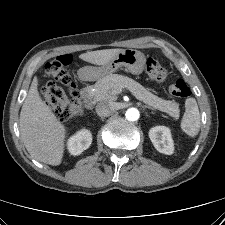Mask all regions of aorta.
Instances as JSON below:
<instances>
[{"label": "aorta", "instance_id": "1", "mask_svg": "<svg viewBox=\"0 0 225 225\" xmlns=\"http://www.w3.org/2000/svg\"><path fill=\"white\" fill-rule=\"evenodd\" d=\"M139 116V110L136 108H129L125 113V117L128 121H136L139 119Z\"/></svg>", "mask_w": 225, "mask_h": 225}]
</instances>
